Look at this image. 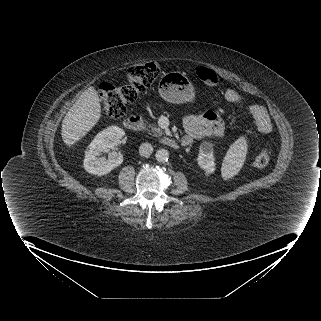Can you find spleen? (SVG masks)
<instances>
[{
	"label": "spleen",
	"instance_id": "3e777b00",
	"mask_svg": "<svg viewBox=\"0 0 321 321\" xmlns=\"http://www.w3.org/2000/svg\"><path fill=\"white\" fill-rule=\"evenodd\" d=\"M247 154V143L244 136L238 138L229 148L222 164V176L230 178L237 174Z\"/></svg>",
	"mask_w": 321,
	"mask_h": 321
}]
</instances>
